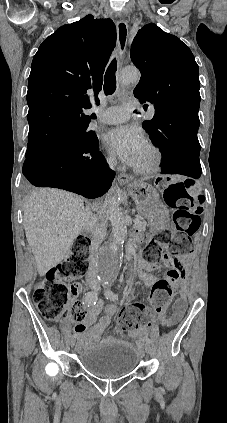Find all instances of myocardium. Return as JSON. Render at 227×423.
I'll list each match as a JSON object with an SVG mask.
<instances>
[{"mask_svg": "<svg viewBox=\"0 0 227 423\" xmlns=\"http://www.w3.org/2000/svg\"><path fill=\"white\" fill-rule=\"evenodd\" d=\"M147 147L152 151V161L145 166H135L134 171L140 174H153L158 172L164 162L163 150L154 142H147Z\"/></svg>", "mask_w": 227, "mask_h": 423, "instance_id": "f54148a6", "label": "myocardium"}]
</instances>
